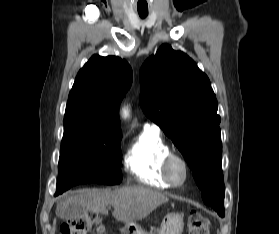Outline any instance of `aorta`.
Returning a JSON list of instances; mask_svg holds the SVG:
<instances>
[{"mask_svg":"<svg viewBox=\"0 0 279 234\" xmlns=\"http://www.w3.org/2000/svg\"><path fill=\"white\" fill-rule=\"evenodd\" d=\"M123 116H124V117H127V116H128V110H126V109L123 110Z\"/></svg>","mask_w":279,"mask_h":234,"instance_id":"aorta-1","label":"aorta"}]
</instances>
